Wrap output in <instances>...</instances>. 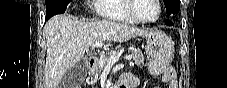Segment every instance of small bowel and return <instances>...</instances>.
Instances as JSON below:
<instances>
[{
	"label": "small bowel",
	"mask_w": 227,
	"mask_h": 88,
	"mask_svg": "<svg viewBox=\"0 0 227 88\" xmlns=\"http://www.w3.org/2000/svg\"><path fill=\"white\" fill-rule=\"evenodd\" d=\"M121 80L125 81V84L122 86L123 88H130L136 84V80L133 77L128 75L123 76ZM164 81L170 82V88L178 87L177 81L174 78L173 71L170 69L166 70V72L164 73Z\"/></svg>",
	"instance_id": "1"
}]
</instances>
